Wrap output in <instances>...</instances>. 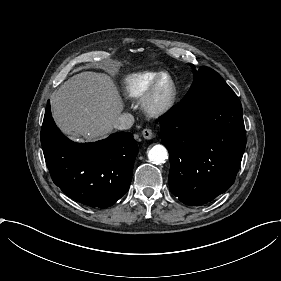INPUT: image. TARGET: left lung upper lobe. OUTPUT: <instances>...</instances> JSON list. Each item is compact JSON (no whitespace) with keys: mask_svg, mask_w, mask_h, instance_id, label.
<instances>
[{"mask_svg":"<svg viewBox=\"0 0 281 281\" xmlns=\"http://www.w3.org/2000/svg\"><path fill=\"white\" fill-rule=\"evenodd\" d=\"M194 80L191 88L181 100L190 102L218 95L235 94L221 76L211 68L200 67L193 70Z\"/></svg>","mask_w":281,"mask_h":281,"instance_id":"left-lung-upper-lobe-1","label":"left lung upper lobe"}]
</instances>
